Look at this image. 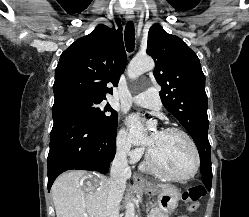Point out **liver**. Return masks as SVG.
<instances>
[{
  "instance_id": "1",
  "label": "liver",
  "mask_w": 249,
  "mask_h": 217,
  "mask_svg": "<svg viewBox=\"0 0 249 217\" xmlns=\"http://www.w3.org/2000/svg\"><path fill=\"white\" fill-rule=\"evenodd\" d=\"M87 179L90 181L85 186ZM109 184L110 179L95 172L73 170L62 174L51 189L56 216L107 217Z\"/></svg>"
}]
</instances>
